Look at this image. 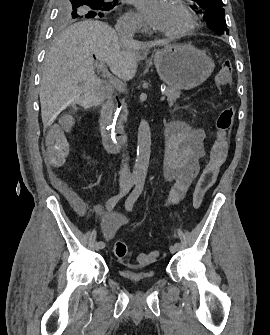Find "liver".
<instances>
[{"mask_svg": "<svg viewBox=\"0 0 270 335\" xmlns=\"http://www.w3.org/2000/svg\"><path fill=\"white\" fill-rule=\"evenodd\" d=\"M165 44L120 40L114 28L99 20L76 22L60 32L44 60L39 94L44 126H51L67 106H89L97 98L101 80L95 76L94 56L128 82L137 72L135 52Z\"/></svg>", "mask_w": 270, "mask_h": 335, "instance_id": "6515ba94", "label": "liver"}]
</instances>
